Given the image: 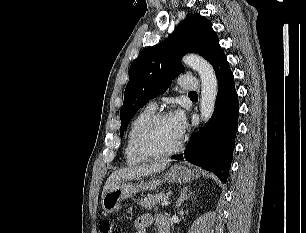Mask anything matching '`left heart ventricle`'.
<instances>
[{
	"mask_svg": "<svg viewBox=\"0 0 306 233\" xmlns=\"http://www.w3.org/2000/svg\"><path fill=\"white\" fill-rule=\"evenodd\" d=\"M170 118L159 121L150 131L148 144L159 151H168L174 148L179 142Z\"/></svg>",
	"mask_w": 306,
	"mask_h": 233,
	"instance_id": "b2bd125f",
	"label": "left heart ventricle"
}]
</instances>
